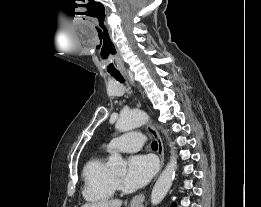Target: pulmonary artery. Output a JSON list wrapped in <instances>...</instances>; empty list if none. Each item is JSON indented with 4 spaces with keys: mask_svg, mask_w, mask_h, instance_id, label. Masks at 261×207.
I'll return each mask as SVG.
<instances>
[{
    "mask_svg": "<svg viewBox=\"0 0 261 207\" xmlns=\"http://www.w3.org/2000/svg\"><path fill=\"white\" fill-rule=\"evenodd\" d=\"M144 136L142 133L134 131L128 132L118 138L113 139L108 145L109 152H136L142 148Z\"/></svg>",
    "mask_w": 261,
    "mask_h": 207,
    "instance_id": "pulmonary-artery-1",
    "label": "pulmonary artery"
}]
</instances>
